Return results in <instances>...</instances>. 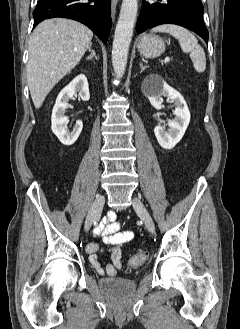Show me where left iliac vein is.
Returning a JSON list of instances; mask_svg holds the SVG:
<instances>
[{
  "instance_id": "4c4485c4",
  "label": "left iliac vein",
  "mask_w": 240,
  "mask_h": 329,
  "mask_svg": "<svg viewBox=\"0 0 240 329\" xmlns=\"http://www.w3.org/2000/svg\"><path fill=\"white\" fill-rule=\"evenodd\" d=\"M133 208L136 211V213L139 215V217L142 219V221L144 222V225L147 228V230L151 234H154L155 233V224H154L149 212L147 211L144 204L141 202V200L139 198L133 199Z\"/></svg>"
}]
</instances>
